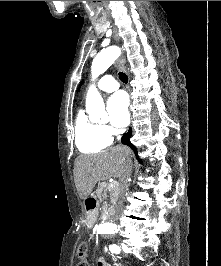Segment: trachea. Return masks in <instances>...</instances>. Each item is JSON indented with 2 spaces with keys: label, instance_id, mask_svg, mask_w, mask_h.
I'll return each instance as SVG.
<instances>
[{
  "label": "trachea",
  "instance_id": "3493384b",
  "mask_svg": "<svg viewBox=\"0 0 221 266\" xmlns=\"http://www.w3.org/2000/svg\"><path fill=\"white\" fill-rule=\"evenodd\" d=\"M119 79L123 82V83H127L128 82V77L126 74H124L123 72L119 73Z\"/></svg>",
  "mask_w": 221,
  "mask_h": 266
}]
</instances>
